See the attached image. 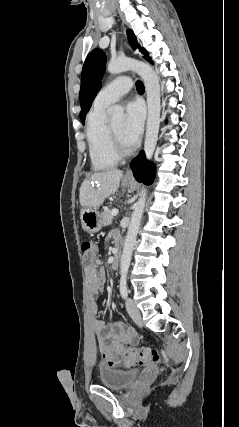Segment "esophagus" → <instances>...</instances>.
<instances>
[{
	"instance_id": "1",
	"label": "esophagus",
	"mask_w": 239,
	"mask_h": 427,
	"mask_svg": "<svg viewBox=\"0 0 239 427\" xmlns=\"http://www.w3.org/2000/svg\"><path fill=\"white\" fill-rule=\"evenodd\" d=\"M124 34H126L125 28H124ZM124 178H125V179H127V180H131V179H133V175H132L131 170H128V171H127V173L125 174V177H124Z\"/></svg>"
}]
</instances>
